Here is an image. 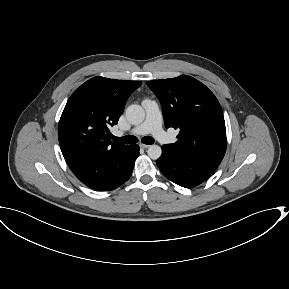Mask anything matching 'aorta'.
Here are the masks:
<instances>
[{"instance_id":"obj_1","label":"aorta","mask_w":289,"mask_h":289,"mask_svg":"<svg viewBox=\"0 0 289 289\" xmlns=\"http://www.w3.org/2000/svg\"><path fill=\"white\" fill-rule=\"evenodd\" d=\"M126 118L131 124L138 125L144 121L145 111L140 105H130L126 109ZM147 153L151 159L156 160L161 156L162 149L154 144L148 148Z\"/></svg>"}]
</instances>
